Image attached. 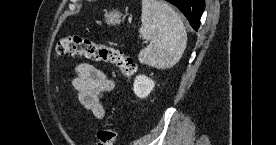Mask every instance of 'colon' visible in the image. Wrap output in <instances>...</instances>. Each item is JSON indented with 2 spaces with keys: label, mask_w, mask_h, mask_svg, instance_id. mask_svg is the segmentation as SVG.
I'll list each match as a JSON object with an SVG mask.
<instances>
[{
  "label": "colon",
  "mask_w": 276,
  "mask_h": 145,
  "mask_svg": "<svg viewBox=\"0 0 276 145\" xmlns=\"http://www.w3.org/2000/svg\"><path fill=\"white\" fill-rule=\"evenodd\" d=\"M56 54L58 56H85L96 62L114 65L126 78H131L137 70L132 58L125 55L122 50L103 43H97L78 34L61 38L56 45ZM117 137L118 134L115 129L100 128L97 132V145H115Z\"/></svg>",
  "instance_id": "1"
}]
</instances>
